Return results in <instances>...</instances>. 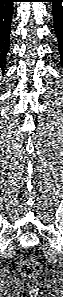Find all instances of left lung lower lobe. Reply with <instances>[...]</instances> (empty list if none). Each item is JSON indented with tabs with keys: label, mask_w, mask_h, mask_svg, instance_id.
Returning <instances> with one entry per match:
<instances>
[{
	"label": "left lung lower lobe",
	"mask_w": 63,
	"mask_h": 297,
	"mask_svg": "<svg viewBox=\"0 0 63 297\" xmlns=\"http://www.w3.org/2000/svg\"><path fill=\"white\" fill-rule=\"evenodd\" d=\"M53 3L54 30L59 41V53L63 64V0H48Z\"/></svg>",
	"instance_id": "left-lung-lower-lobe-1"
}]
</instances>
